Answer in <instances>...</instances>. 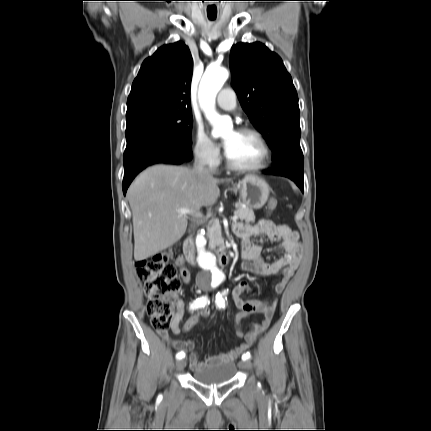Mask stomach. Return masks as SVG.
<instances>
[{
	"label": "stomach",
	"instance_id": "1",
	"mask_svg": "<svg viewBox=\"0 0 431 431\" xmlns=\"http://www.w3.org/2000/svg\"><path fill=\"white\" fill-rule=\"evenodd\" d=\"M239 192L242 202L249 208L260 209L269 197V185L256 176H246L234 185Z\"/></svg>",
	"mask_w": 431,
	"mask_h": 431
}]
</instances>
